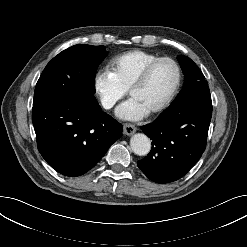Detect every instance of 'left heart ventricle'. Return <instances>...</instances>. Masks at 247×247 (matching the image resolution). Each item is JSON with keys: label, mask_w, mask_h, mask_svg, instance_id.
<instances>
[{"label": "left heart ventricle", "mask_w": 247, "mask_h": 247, "mask_svg": "<svg viewBox=\"0 0 247 247\" xmlns=\"http://www.w3.org/2000/svg\"><path fill=\"white\" fill-rule=\"evenodd\" d=\"M175 78L174 66L169 62H161L152 70L145 84L133 91L131 97L151 110L165 99Z\"/></svg>", "instance_id": "obj_1"}]
</instances>
